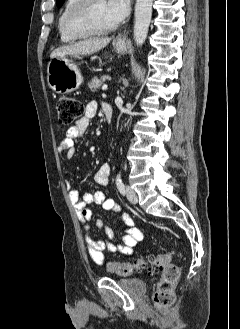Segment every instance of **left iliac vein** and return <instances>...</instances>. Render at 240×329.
Masks as SVG:
<instances>
[{
    "label": "left iliac vein",
    "instance_id": "left-iliac-vein-1",
    "mask_svg": "<svg viewBox=\"0 0 240 329\" xmlns=\"http://www.w3.org/2000/svg\"><path fill=\"white\" fill-rule=\"evenodd\" d=\"M126 195L129 202L136 204L138 202V197L136 192L129 186L126 187Z\"/></svg>",
    "mask_w": 240,
    "mask_h": 329
}]
</instances>
